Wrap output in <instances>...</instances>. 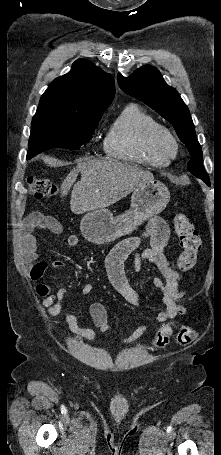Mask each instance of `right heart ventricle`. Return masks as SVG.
<instances>
[{
  "mask_svg": "<svg viewBox=\"0 0 221 455\" xmlns=\"http://www.w3.org/2000/svg\"><path fill=\"white\" fill-rule=\"evenodd\" d=\"M158 125L154 117L138 104H128L104 136L103 149L106 155L135 164L154 167L166 165L168 158L151 141V133Z\"/></svg>",
  "mask_w": 221,
  "mask_h": 455,
  "instance_id": "obj_1",
  "label": "right heart ventricle"
}]
</instances>
